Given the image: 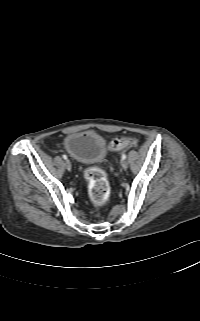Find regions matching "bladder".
<instances>
[{"mask_svg": "<svg viewBox=\"0 0 200 321\" xmlns=\"http://www.w3.org/2000/svg\"><path fill=\"white\" fill-rule=\"evenodd\" d=\"M64 148L74 160L83 164L100 162L107 153L106 140L94 130L69 133L64 139Z\"/></svg>", "mask_w": 200, "mask_h": 321, "instance_id": "1", "label": "bladder"}]
</instances>
